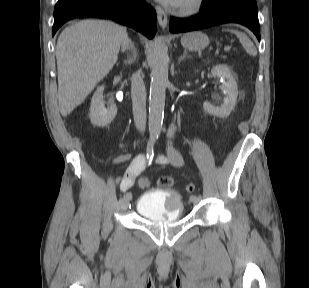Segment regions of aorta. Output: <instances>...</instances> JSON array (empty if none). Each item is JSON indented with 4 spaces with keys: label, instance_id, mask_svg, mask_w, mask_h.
<instances>
[{
    "label": "aorta",
    "instance_id": "obj_1",
    "mask_svg": "<svg viewBox=\"0 0 309 288\" xmlns=\"http://www.w3.org/2000/svg\"><path fill=\"white\" fill-rule=\"evenodd\" d=\"M169 57L160 37H155L149 96V134L158 139L164 117L165 92L168 83Z\"/></svg>",
    "mask_w": 309,
    "mask_h": 288
}]
</instances>
